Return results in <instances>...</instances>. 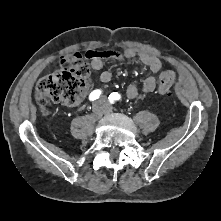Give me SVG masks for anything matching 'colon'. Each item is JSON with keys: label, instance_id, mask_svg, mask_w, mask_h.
Wrapping results in <instances>:
<instances>
[{"label": "colon", "instance_id": "colon-1", "mask_svg": "<svg viewBox=\"0 0 221 221\" xmlns=\"http://www.w3.org/2000/svg\"><path fill=\"white\" fill-rule=\"evenodd\" d=\"M86 58L88 59L87 55L84 57L79 52L63 55L60 68L38 80L35 99L43 113L47 112L49 102L75 105L84 98L92 85L91 71ZM176 80L175 72H162L158 92L161 95H169Z\"/></svg>", "mask_w": 221, "mask_h": 221}]
</instances>
